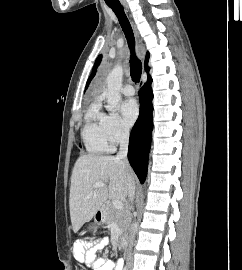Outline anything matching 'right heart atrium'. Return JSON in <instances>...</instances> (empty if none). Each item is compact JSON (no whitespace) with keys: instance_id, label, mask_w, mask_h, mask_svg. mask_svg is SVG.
<instances>
[{"instance_id":"right-heart-atrium-1","label":"right heart atrium","mask_w":242,"mask_h":270,"mask_svg":"<svg viewBox=\"0 0 242 270\" xmlns=\"http://www.w3.org/2000/svg\"><path fill=\"white\" fill-rule=\"evenodd\" d=\"M106 129L112 144L123 142L129 135L128 127L116 113L106 115Z\"/></svg>"}]
</instances>
